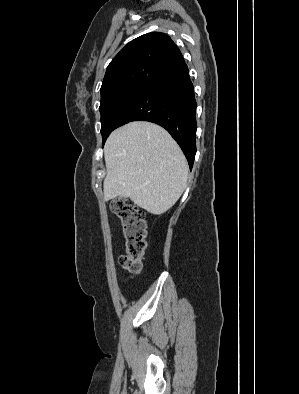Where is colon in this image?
<instances>
[{"instance_id":"obj_1","label":"colon","mask_w":299,"mask_h":394,"mask_svg":"<svg viewBox=\"0 0 299 394\" xmlns=\"http://www.w3.org/2000/svg\"><path fill=\"white\" fill-rule=\"evenodd\" d=\"M110 209L119 218L125 237V253L119 257V263L128 272L137 274L146 249L144 213L133 201L124 198L113 200Z\"/></svg>"}]
</instances>
